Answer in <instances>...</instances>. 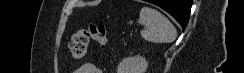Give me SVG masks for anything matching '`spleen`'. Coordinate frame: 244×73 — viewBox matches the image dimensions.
Here are the masks:
<instances>
[{"label": "spleen", "mask_w": 244, "mask_h": 73, "mask_svg": "<svg viewBox=\"0 0 244 73\" xmlns=\"http://www.w3.org/2000/svg\"><path fill=\"white\" fill-rule=\"evenodd\" d=\"M138 23L145 26L141 36L152 43H170L177 37L174 25L159 11L143 7L140 11Z\"/></svg>", "instance_id": "1"}]
</instances>
